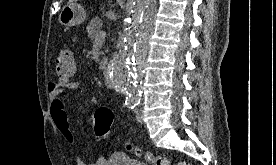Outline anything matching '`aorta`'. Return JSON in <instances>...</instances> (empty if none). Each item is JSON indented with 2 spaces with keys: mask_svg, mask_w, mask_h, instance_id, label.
I'll return each mask as SVG.
<instances>
[{
  "mask_svg": "<svg viewBox=\"0 0 276 165\" xmlns=\"http://www.w3.org/2000/svg\"><path fill=\"white\" fill-rule=\"evenodd\" d=\"M156 0H133V10L121 47L107 69L109 83L124 91L129 101L140 98L144 58L155 27Z\"/></svg>",
  "mask_w": 276,
  "mask_h": 165,
  "instance_id": "obj_1",
  "label": "aorta"
}]
</instances>
